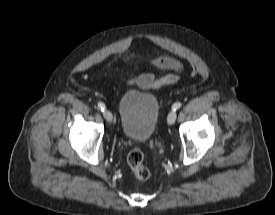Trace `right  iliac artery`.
<instances>
[{
    "mask_svg": "<svg viewBox=\"0 0 275 215\" xmlns=\"http://www.w3.org/2000/svg\"><path fill=\"white\" fill-rule=\"evenodd\" d=\"M98 108L103 112L105 110V105L102 102L98 103Z\"/></svg>",
    "mask_w": 275,
    "mask_h": 215,
    "instance_id": "obj_1",
    "label": "right iliac artery"
}]
</instances>
